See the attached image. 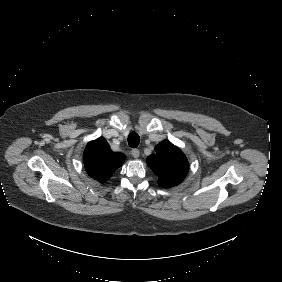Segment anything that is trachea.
<instances>
[{
	"mask_svg": "<svg viewBox=\"0 0 282 282\" xmlns=\"http://www.w3.org/2000/svg\"><path fill=\"white\" fill-rule=\"evenodd\" d=\"M140 143V137L136 132H131L128 135V145L132 148L138 147Z\"/></svg>",
	"mask_w": 282,
	"mask_h": 282,
	"instance_id": "trachea-1",
	"label": "trachea"
}]
</instances>
